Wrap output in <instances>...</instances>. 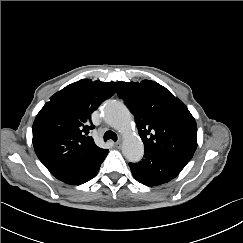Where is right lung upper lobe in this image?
<instances>
[{
	"mask_svg": "<svg viewBox=\"0 0 243 243\" xmlns=\"http://www.w3.org/2000/svg\"><path fill=\"white\" fill-rule=\"evenodd\" d=\"M115 91V82L82 79L54 94L43 106L33 124V146L50 172L108 152L89 135L94 129L91 114Z\"/></svg>",
	"mask_w": 243,
	"mask_h": 243,
	"instance_id": "1",
	"label": "right lung upper lobe"
}]
</instances>
